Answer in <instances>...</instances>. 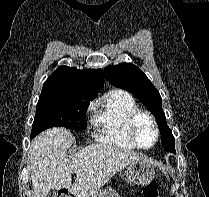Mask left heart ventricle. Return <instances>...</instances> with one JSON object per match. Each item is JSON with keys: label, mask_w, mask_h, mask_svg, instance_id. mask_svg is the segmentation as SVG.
Wrapping results in <instances>:
<instances>
[{"label": "left heart ventricle", "mask_w": 209, "mask_h": 197, "mask_svg": "<svg viewBox=\"0 0 209 197\" xmlns=\"http://www.w3.org/2000/svg\"><path fill=\"white\" fill-rule=\"evenodd\" d=\"M137 137L142 146H151L155 140V131L150 120L143 116L137 123Z\"/></svg>", "instance_id": "left-heart-ventricle-1"}]
</instances>
